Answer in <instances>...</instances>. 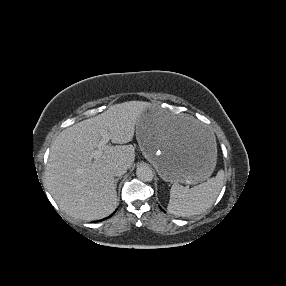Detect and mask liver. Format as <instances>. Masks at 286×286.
Wrapping results in <instances>:
<instances>
[{
    "mask_svg": "<svg viewBox=\"0 0 286 286\" xmlns=\"http://www.w3.org/2000/svg\"><path fill=\"white\" fill-rule=\"evenodd\" d=\"M151 104L128 101L112 105L105 112L64 129L53 141L46 167L48 190L68 215L96 220L110 215L117 205L115 179L111 166L124 163L130 168L135 160V126ZM176 132L190 136L208 135L198 122L187 115L163 113ZM102 130L116 146L107 145L98 159L91 152L98 148ZM211 137V136H210Z\"/></svg>",
    "mask_w": 286,
    "mask_h": 286,
    "instance_id": "1",
    "label": "liver"
}]
</instances>
